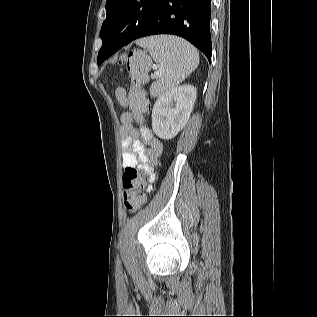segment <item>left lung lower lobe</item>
Wrapping results in <instances>:
<instances>
[{"label":"left lung lower lobe","instance_id":"0a47b994","mask_svg":"<svg viewBox=\"0 0 317 317\" xmlns=\"http://www.w3.org/2000/svg\"><path fill=\"white\" fill-rule=\"evenodd\" d=\"M210 17L211 0H162L133 40L155 34L177 35L191 42L211 61ZM124 45L105 41L104 58L107 59Z\"/></svg>","mask_w":317,"mask_h":317}]
</instances>
